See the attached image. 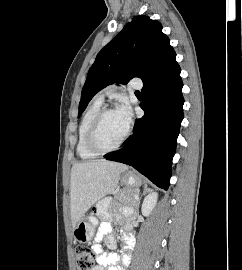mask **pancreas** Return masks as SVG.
<instances>
[{"instance_id":"obj_1","label":"pancreas","mask_w":242,"mask_h":270,"mask_svg":"<svg viewBox=\"0 0 242 270\" xmlns=\"http://www.w3.org/2000/svg\"><path fill=\"white\" fill-rule=\"evenodd\" d=\"M137 195V192L132 191L130 189H123L118 195L117 199L120 203H122L124 206L128 207H136L137 201L135 200V196Z\"/></svg>"}]
</instances>
